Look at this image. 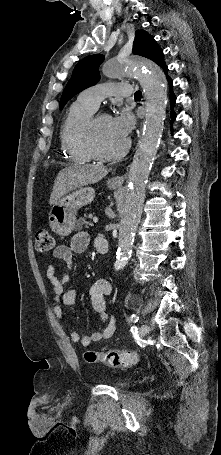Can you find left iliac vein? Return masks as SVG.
I'll return each instance as SVG.
<instances>
[{
  "label": "left iliac vein",
  "instance_id": "obj_1",
  "mask_svg": "<svg viewBox=\"0 0 221 455\" xmlns=\"http://www.w3.org/2000/svg\"><path fill=\"white\" fill-rule=\"evenodd\" d=\"M149 332V327L146 324H142L139 329V334L141 337H145Z\"/></svg>",
  "mask_w": 221,
  "mask_h": 455
}]
</instances>
